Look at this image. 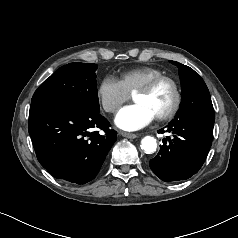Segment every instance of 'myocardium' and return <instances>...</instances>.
<instances>
[{"instance_id":"myocardium-1","label":"myocardium","mask_w":238,"mask_h":238,"mask_svg":"<svg viewBox=\"0 0 238 238\" xmlns=\"http://www.w3.org/2000/svg\"><path fill=\"white\" fill-rule=\"evenodd\" d=\"M163 82H168L171 84L174 91V102L172 107L166 113L156 116V119L159 121H167L172 119L180 109V106L182 103V93H181V89L178 82L170 76L162 75V76H158L151 79L145 85H143L142 87H140L138 90L134 92V95L148 94L152 92L158 85H160Z\"/></svg>"}]
</instances>
